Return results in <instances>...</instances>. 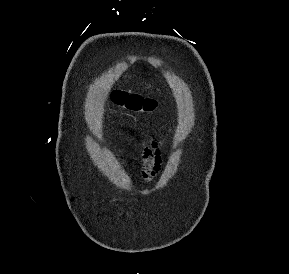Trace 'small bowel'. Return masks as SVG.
Masks as SVG:
<instances>
[{"label":"small bowel","instance_id":"small-bowel-1","mask_svg":"<svg viewBox=\"0 0 289 274\" xmlns=\"http://www.w3.org/2000/svg\"><path fill=\"white\" fill-rule=\"evenodd\" d=\"M142 177L150 182L155 179L163 165L160 142L155 138L144 141L141 146Z\"/></svg>","mask_w":289,"mask_h":274}]
</instances>
